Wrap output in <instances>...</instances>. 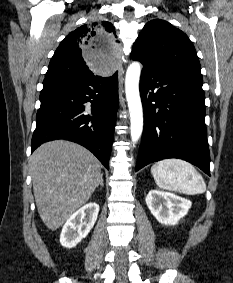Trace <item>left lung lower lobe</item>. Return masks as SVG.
Listing matches in <instances>:
<instances>
[{
  "label": "left lung lower lobe",
  "instance_id": "left-lung-lower-lobe-1",
  "mask_svg": "<svg viewBox=\"0 0 233 283\" xmlns=\"http://www.w3.org/2000/svg\"><path fill=\"white\" fill-rule=\"evenodd\" d=\"M143 66L144 131L135 171L162 159L179 158L210 175L202 75L188 69Z\"/></svg>",
  "mask_w": 233,
  "mask_h": 283
}]
</instances>
